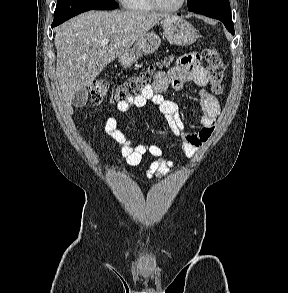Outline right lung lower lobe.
I'll return each instance as SVG.
<instances>
[{
    "instance_id": "1",
    "label": "right lung lower lobe",
    "mask_w": 288,
    "mask_h": 293,
    "mask_svg": "<svg viewBox=\"0 0 288 293\" xmlns=\"http://www.w3.org/2000/svg\"><path fill=\"white\" fill-rule=\"evenodd\" d=\"M55 26H57L56 24H52V27H55Z\"/></svg>"
}]
</instances>
